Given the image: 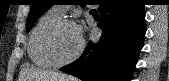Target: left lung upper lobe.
Segmentation results:
<instances>
[{
  "label": "left lung upper lobe",
  "instance_id": "5c2ea615",
  "mask_svg": "<svg viewBox=\"0 0 169 81\" xmlns=\"http://www.w3.org/2000/svg\"><path fill=\"white\" fill-rule=\"evenodd\" d=\"M52 5V0H31V10L27 19V32H29L37 19Z\"/></svg>",
  "mask_w": 169,
  "mask_h": 81
}]
</instances>
